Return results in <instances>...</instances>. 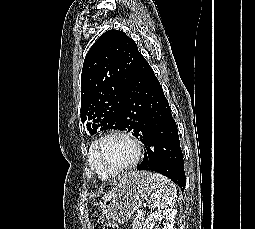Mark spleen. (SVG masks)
Returning a JSON list of instances; mask_svg holds the SVG:
<instances>
[{"instance_id": "obj_1", "label": "spleen", "mask_w": 255, "mask_h": 229, "mask_svg": "<svg viewBox=\"0 0 255 229\" xmlns=\"http://www.w3.org/2000/svg\"><path fill=\"white\" fill-rule=\"evenodd\" d=\"M153 179L156 183V189L147 201L148 206L152 209L174 206L177 197L175 184L159 173H154Z\"/></svg>"}]
</instances>
